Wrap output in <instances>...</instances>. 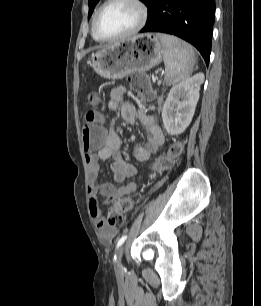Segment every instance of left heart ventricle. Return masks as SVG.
Listing matches in <instances>:
<instances>
[{
  "mask_svg": "<svg viewBox=\"0 0 261 306\" xmlns=\"http://www.w3.org/2000/svg\"><path fill=\"white\" fill-rule=\"evenodd\" d=\"M138 8L125 1L115 2L104 9L98 21L101 35L111 37L132 30L139 20Z\"/></svg>",
  "mask_w": 261,
  "mask_h": 306,
  "instance_id": "b2bd125f",
  "label": "left heart ventricle"
}]
</instances>
